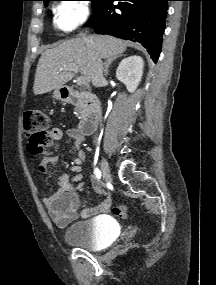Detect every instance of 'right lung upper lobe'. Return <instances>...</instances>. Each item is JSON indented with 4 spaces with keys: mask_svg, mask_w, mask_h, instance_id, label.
<instances>
[{
    "mask_svg": "<svg viewBox=\"0 0 216 285\" xmlns=\"http://www.w3.org/2000/svg\"><path fill=\"white\" fill-rule=\"evenodd\" d=\"M42 1H44V3H46V2L49 1V0H42Z\"/></svg>",
    "mask_w": 216,
    "mask_h": 285,
    "instance_id": "right-lung-upper-lobe-1",
    "label": "right lung upper lobe"
}]
</instances>
